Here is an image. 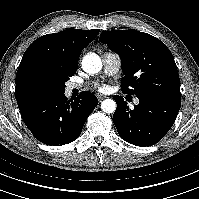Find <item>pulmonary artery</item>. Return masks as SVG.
Wrapping results in <instances>:
<instances>
[{"label": "pulmonary artery", "instance_id": "1", "mask_svg": "<svg viewBox=\"0 0 199 199\" xmlns=\"http://www.w3.org/2000/svg\"><path fill=\"white\" fill-rule=\"evenodd\" d=\"M102 62H103V70L104 73L107 76H112L116 73H118V71L121 68V58L119 57L118 54L114 53V52H105L102 55ZM81 86L80 83H71L68 86V90L72 91L73 89L79 88ZM135 104L139 103L138 99L134 100Z\"/></svg>", "mask_w": 199, "mask_h": 199}]
</instances>
